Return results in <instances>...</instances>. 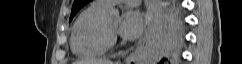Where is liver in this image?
Returning a JSON list of instances; mask_svg holds the SVG:
<instances>
[{
  "mask_svg": "<svg viewBox=\"0 0 242 64\" xmlns=\"http://www.w3.org/2000/svg\"><path fill=\"white\" fill-rule=\"evenodd\" d=\"M74 64H114V63L108 59H86V60L76 61Z\"/></svg>",
  "mask_w": 242,
  "mask_h": 64,
  "instance_id": "liver-1",
  "label": "liver"
}]
</instances>
